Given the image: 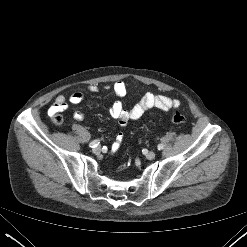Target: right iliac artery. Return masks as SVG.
I'll list each match as a JSON object with an SVG mask.
<instances>
[{
    "label": "right iliac artery",
    "mask_w": 247,
    "mask_h": 247,
    "mask_svg": "<svg viewBox=\"0 0 247 247\" xmlns=\"http://www.w3.org/2000/svg\"><path fill=\"white\" fill-rule=\"evenodd\" d=\"M99 144V140H94L92 142H90L89 146L90 147H96Z\"/></svg>",
    "instance_id": "obj_1"
}]
</instances>
